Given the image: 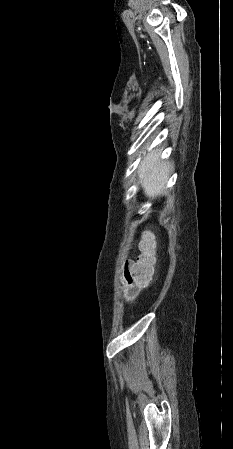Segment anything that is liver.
Here are the masks:
<instances>
[{
	"label": "liver",
	"mask_w": 233,
	"mask_h": 449,
	"mask_svg": "<svg viewBox=\"0 0 233 449\" xmlns=\"http://www.w3.org/2000/svg\"><path fill=\"white\" fill-rule=\"evenodd\" d=\"M160 153L152 151L148 153L139 165V179L144 193L149 198H155L163 194V188L169 179L173 169L170 162H160Z\"/></svg>",
	"instance_id": "obj_1"
}]
</instances>
